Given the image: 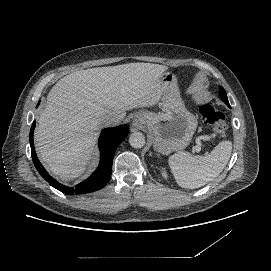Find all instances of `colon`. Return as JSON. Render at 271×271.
Here are the masks:
<instances>
[{
	"mask_svg": "<svg viewBox=\"0 0 271 271\" xmlns=\"http://www.w3.org/2000/svg\"><path fill=\"white\" fill-rule=\"evenodd\" d=\"M199 113L204 123L212 126L218 136H224L227 130V123L224 115L210 104H202Z\"/></svg>",
	"mask_w": 271,
	"mask_h": 271,
	"instance_id": "colon-1",
	"label": "colon"
}]
</instances>
